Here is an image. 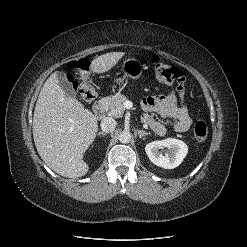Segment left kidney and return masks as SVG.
Listing matches in <instances>:
<instances>
[{"label": "left kidney", "mask_w": 247, "mask_h": 247, "mask_svg": "<svg viewBox=\"0 0 247 247\" xmlns=\"http://www.w3.org/2000/svg\"><path fill=\"white\" fill-rule=\"evenodd\" d=\"M164 147L168 148L169 152L163 154L159 151ZM145 151L153 164L165 169H173L182 163L188 153V147L181 140L167 138L148 143L145 147Z\"/></svg>", "instance_id": "1"}]
</instances>
